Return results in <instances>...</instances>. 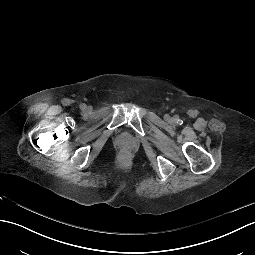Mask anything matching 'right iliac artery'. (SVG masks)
Returning a JSON list of instances; mask_svg holds the SVG:
<instances>
[{
    "label": "right iliac artery",
    "mask_w": 255,
    "mask_h": 255,
    "mask_svg": "<svg viewBox=\"0 0 255 255\" xmlns=\"http://www.w3.org/2000/svg\"><path fill=\"white\" fill-rule=\"evenodd\" d=\"M80 108H81V109H85V108H86L85 104H81V105H80Z\"/></svg>",
    "instance_id": "82829eb1"
}]
</instances>
